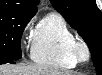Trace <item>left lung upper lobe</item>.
Here are the masks:
<instances>
[{"mask_svg":"<svg viewBox=\"0 0 102 75\" xmlns=\"http://www.w3.org/2000/svg\"><path fill=\"white\" fill-rule=\"evenodd\" d=\"M89 46L93 64L102 74V15L95 0H50Z\"/></svg>","mask_w":102,"mask_h":75,"instance_id":"obj_1","label":"left lung upper lobe"}]
</instances>
